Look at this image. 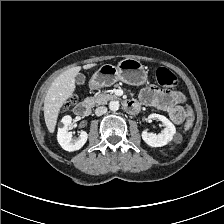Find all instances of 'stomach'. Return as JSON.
Segmentation results:
<instances>
[{
	"mask_svg": "<svg viewBox=\"0 0 224 224\" xmlns=\"http://www.w3.org/2000/svg\"><path fill=\"white\" fill-rule=\"evenodd\" d=\"M148 72L142 63L133 58L123 59L117 66L105 64L92 76L90 86L94 89L109 87L117 81L141 86L146 83Z\"/></svg>",
	"mask_w": 224,
	"mask_h": 224,
	"instance_id": "1",
	"label": "stomach"
}]
</instances>
